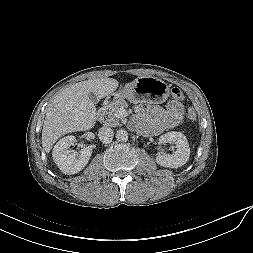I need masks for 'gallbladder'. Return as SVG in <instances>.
I'll return each mask as SVG.
<instances>
[{
	"instance_id": "obj_1",
	"label": "gallbladder",
	"mask_w": 253,
	"mask_h": 253,
	"mask_svg": "<svg viewBox=\"0 0 253 253\" xmlns=\"http://www.w3.org/2000/svg\"><path fill=\"white\" fill-rule=\"evenodd\" d=\"M88 97H89V99H90L93 103H97V102H98V97H97L94 93L90 92V93L88 94Z\"/></svg>"
}]
</instances>
